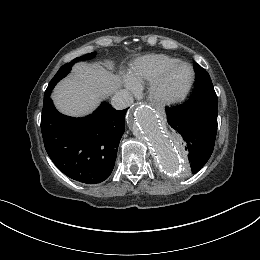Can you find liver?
I'll return each instance as SVG.
<instances>
[{
	"instance_id": "liver-1",
	"label": "liver",
	"mask_w": 260,
	"mask_h": 260,
	"mask_svg": "<svg viewBox=\"0 0 260 260\" xmlns=\"http://www.w3.org/2000/svg\"><path fill=\"white\" fill-rule=\"evenodd\" d=\"M121 84V77L113 74L107 66L78 63L73 73L55 87L52 99L61 113L81 117L91 113Z\"/></svg>"
}]
</instances>
